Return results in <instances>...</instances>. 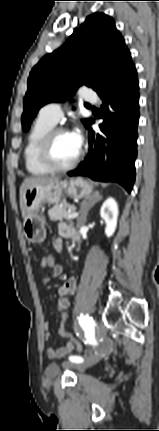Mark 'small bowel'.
Returning <instances> with one entry per match:
<instances>
[{
  "mask_svg": "<svg viewBox=\"0 0 159 431\" xmlns=\"http://www.w3.org/2000/svg\"><path fill=\"white\" fill-rule=\"evenodd\" d=\"M59 234L61 237H71L73 235V231L69 225L62 224L59 226ZM54 245L57 250L59 251L62 250V241L60 238L55 240ZM54 266L56 267V270L52 273V277H57L63 272V265L55 262ZM40 267L42 269H46L45 257L41 260ZM49 281L50 279L48 278L44 279L45 284H48ZM75 291H76V280L74 277H70L62 285L58 287V290H57L58 298H57L55 309L66 310L70 306V301L73 295L75 294ZM42 328L44 330V337L46 340H48L50 337L49 323L47 321H43ZM74 349H77V348L70 342V340L67 339V342L59 348L52 347V346L48 347L46 349V353H47V356L50 358H61L71 353Z\"/></svg>",
  "mask_w": 159,
  "mask_h": 431,
  "instance_id": "small-bowel-1",
  "label": "small bowel"
}]
</instances>
